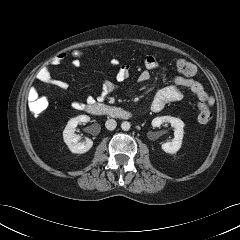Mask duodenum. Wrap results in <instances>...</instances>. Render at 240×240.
<instances>
[{
	"mask_svg": "<svg viewBox=\"0 0 240 240\" xmlns=\"http://www.w3.org/2000/svg\"><path fill=\"white\" fill-rule=\"evenodd\" d=\"M85 111L93 115H106L118 119H127L130 113L126 110L99 103H91L85 106Z\"/></svg>",
	"mask_w": 240,
	"mask_h": 240,
	"instance_id": "obj_1",
	"label": "duodenum"
}]
</instances>
